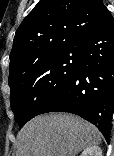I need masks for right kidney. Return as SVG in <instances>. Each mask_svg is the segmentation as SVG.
<instances>
[{"mask_svg":"<svg viewBox=\"0 0 114 156\" xmlns=\"http://www.w3.org/2000/svg\"><path fill=\"white\" fill-rule=\"evenodd\" d=\"M80 156H102V149L99 146H90L84 149Z\"/></svg>","mask_w":114,"mask_h":156,"instance_id":"1","label":"right kidney"}]
</instances>
